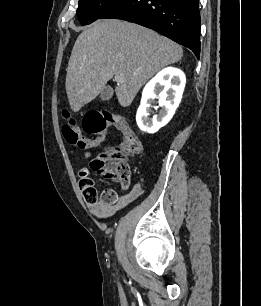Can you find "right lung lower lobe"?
Returning <instances> with one entry per match:
<instances>
[{
    "instance_id": "right-lung-lower-lobe-1",
    "label": "right lung lower lobe",
    "mask_w": 261,
    "mask_h": 306,
    "mask_svg": "<svg viewBox=\"0 0 261 306\" xmlns=\"http://www.w3.org/2000/svg\"><path fill=\"white\" fill-rule=\"evenodd\" d=\"M151 28L200 55L199 0H117L98 19Z\"/></svg>"
}]
</instances>
